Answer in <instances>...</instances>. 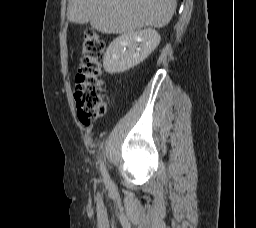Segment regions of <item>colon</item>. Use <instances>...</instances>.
<instances>
[{"instance_id": "1", "label": "colon", "mask_w": 256, "mask_h": 228, "mask_svg": "<svg viewBox=\"0 0 256 228\" xmlns=\"http://www.w3.org/2000/svg\"><path fill=\"white\" fill-rule=\"evenodd\" d=\"M104 50L105 44L101 36L95 30L87 28L83 35L82 59L74 85L77 115L83 123L94 121L106 110L101 78Z\"/></svg>"}]
</instances>
